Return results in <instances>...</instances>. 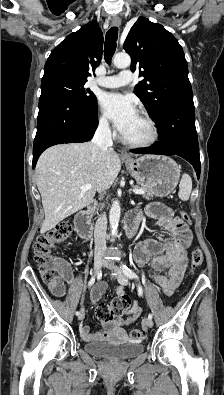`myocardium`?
Wrapping results in <instances>:
<instances>
[{"mask_svg": "<svg viewBox=\"0 0 224 395\" xmlns=\"http://www.w3.org/2000/svg\"><path fill=\"white\" fill-rule=\"evenodd\" d=\"M138 115L147 123L149 128V136L143 140H131L121 134L120 139L125 145L133 148H146L152 146L157 141L159 136L157 124L145 111H140Z\"/></svg>", "mask_w": 224, "mask_h": 395, "instance_id": "f54148a6", "label": "myocardium"}]
</instances>
